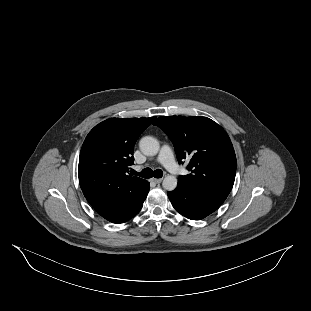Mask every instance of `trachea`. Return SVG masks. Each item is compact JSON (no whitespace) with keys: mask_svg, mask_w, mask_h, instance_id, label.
<instances>
[{"mask_svg":"<svg viewBox=\"0 0 311 311\" xmlns=\"http://www.w3.org/2000/svg\"><path fill=\"white\" fill-rule=\"evenodd\" d=\"M132 175L140 176L142 178H161L163 176V171L161 169H156L153 171L150 168H145L140 173L133 171Z\"/></svg>","mask_w":311,"mask_h":311,"instance_id":"trachea-1","label":"trachea"}]
</instances>
